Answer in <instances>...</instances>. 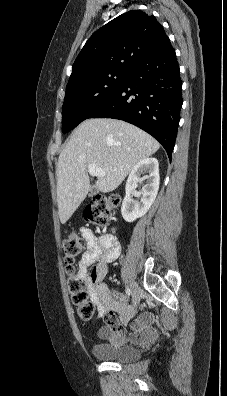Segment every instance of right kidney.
<instances>
[{"label":"right kidney","mask_w":227,"mask_h":396,"mask_svg":"<svg viewBox=\"0 0 227 396\" xmlns=\"http://www.w3.org/2000/svg\"><path fill=\"white\" fill-rule=\"evenodd\" d=\"M141 175H144L142 178ZM146 180L142 189L140 202L133 199L137 184ZM159 163L156 158H145L139 161L131 170L127 183L126 195L122 202V217L127 222H133L137 218L144 216L156 199L159 189Z\"/></svg>","instance_id":"obj_1"}]
</instances>
